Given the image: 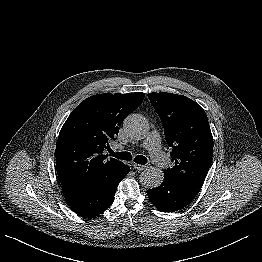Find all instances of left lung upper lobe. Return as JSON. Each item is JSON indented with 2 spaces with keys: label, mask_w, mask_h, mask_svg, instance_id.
<instances>
[{
  "label": "left lung upper lobe",
  "mask_w": 262,
  "mask_h": 262,
  "mask_svg": "<svg viewBox=\"0 0 262 262\" xmlns=\"http://www.w3.org/2000/svg\"><path fill=\"white\" fill-rule=\"evenodd\" d=\"M148 98L162 121L167 144L173 149L175 166L164 174L201 188L213 155V137L204 109L177 94L153 92Z\"/></svg>",
  "instance_id": "obj_1"
}]
</instances>
